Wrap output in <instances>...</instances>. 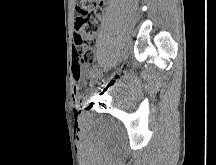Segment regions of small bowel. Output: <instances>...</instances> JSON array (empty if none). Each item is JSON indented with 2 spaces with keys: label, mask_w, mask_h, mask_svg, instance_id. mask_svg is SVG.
<instances>
[{
  "label": "small bowel",
  "mask_w": 216,
  "mask_h": 165,
  "mask_svg": "<svg viewBox=\"0 0 216 165\" xmlns=\"http://www.w3.org/2000/svg\"><path fill=\"white\" fill-rule=\"evenodd\" d=\"M84 73H85L84 68L76 60H74L72 64V74H73L74 80H76L77 82L80 81ZM78 91L79 89L77 87V89L75 90V94L76 92L78 93Z\"/></svg>",
  "instance_id": "obj_1"
}]
</instances>
